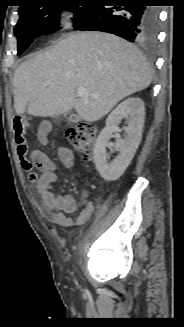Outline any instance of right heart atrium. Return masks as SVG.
Returning a JSON list of instances; mask_svg holds the SVG:
<instances>
[{"instance_id": "1", "label": "right heart atrium", "mask_w": 184, "mask_h": 327, "mask_svg": "<svg viewBox=\"0 0 184 327\" xmlns=\"http://www.w3.org/2000/svg\"><path fill=\"white\" fill-rule=\"evenodd\" d=\"M75 24V18L71 13H63L58 18V26L62 29H68L73 27Z\"/></svg>"}]
</instances>
